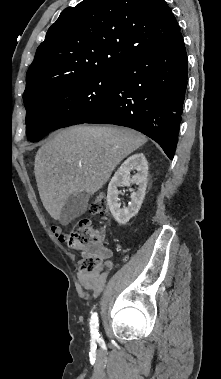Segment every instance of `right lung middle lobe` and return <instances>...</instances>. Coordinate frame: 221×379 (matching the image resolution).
Segmentation results:
<instances>
[{"mask_svg": "<svg viewBox=\"0 0 221 379\" xmlns=\"http://www.w3.org/2000/svg\"><path fill=\"white\" fill-rule=\"evenodd\" d=\"M118 69L84 75L56 85L25 103L26 134L37 142L49 132L86 120L111 98Z\"/></svg>", "mask_w": 221, "mask_h": 379, "instance_id": "obj_1", "label": "right lung middle lobe"}]
</instances>
